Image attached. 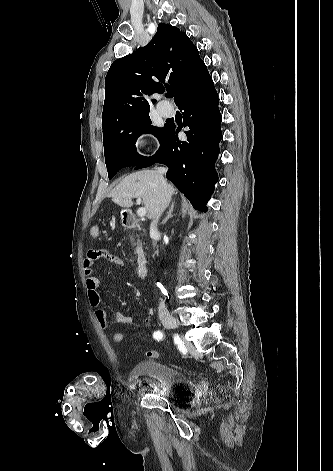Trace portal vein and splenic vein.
<instances>
[{
    "mask_svg": "<svg viewBox=\"0 0 333 471\" xmlns=\"http://www.w3.org/2000/svg\"><path fill=\"white\" fill-rule=\"evenodd\" d=\"M140 203H141V198H137V204H140ZM146 213H147V210L144 207H140L137 210V215L139 217H144L146 215Z\"/></svg>",
    "mask_w": 333,
    "mask_h": 471,
    "instance_id": "18ae733b",
    "label": "portal vein and splenic vein"
}]
</instances>
